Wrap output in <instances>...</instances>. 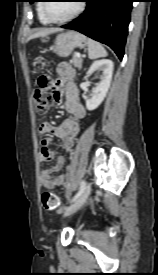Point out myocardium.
Here are the masks:
<instances>
[{
  "label": "myocardium",
  "instance_id": "myocardium-1",
  "mask_svg": "<svg viewBox=\"0 0 158 275\" xmlns=\"http://www.w3.org/2000/svg\"><path fill=\"white\" fill-rule=\"evenodd\" d=\"M44 2L45 3L42 4V13L48 22L54 23V24H62V23L71 21L72 19L79 16L85 8L84 0H80L77 9L70 16L63 18V19H54V18L50 17L47 13V5H48L47 2H49V1H44Z\"/></svg>",
  "mask_w": 158,
  "mask_h": 275
}]
</instances>
